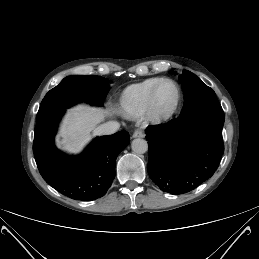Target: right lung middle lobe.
Here are the masks:
<instances>
[{"mask_svg": "<svg viewBox=\"0 0 259 259\" xmlns=\"http://www.w3.org/2000/svg\"><path fill=\"white\" fill-rule=\"evenodd\" d=\"M108 82L107 79L96 75H74L64 78L42 100L37 119L80 102L102 105L109 90Z\"/></svg>", "mask_w": 259, "mask_h": 259, "instance_id": "obj_1", "label": "right lung middle lobe"}]
</instances>
